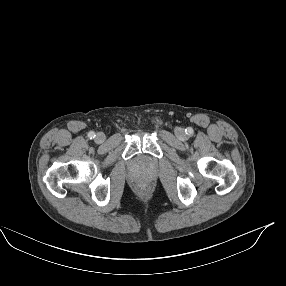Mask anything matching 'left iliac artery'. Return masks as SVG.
Here are the masks:
<instances>
[{"label":"left iliac artery","instance_id":"44dca946","mask_svg":"<svg viewBox=\"0 0 286 286\" xmlns=\"http://www.w3.org/2000/svg\"><path fill=\"white\" fill-rule=\"evenodd\" d=\"M186 133L189 134V135H191V134L193 133V129L190 128V127H188V128L186 129Z\"/></svg>","mask_w":286,"mask_h":286}]
</instances>
